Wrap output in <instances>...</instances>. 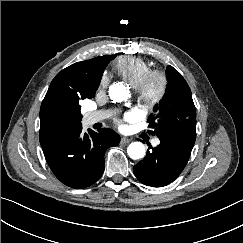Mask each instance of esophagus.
I'll list each match as a JSON object with an SVG mask.
<instances>
[{
    "label": "esophagus",
    "mask_w": 243,
    "mask_h": 243,
    "mask_svg": "<svg viewBox=\"0 0 243 243\" xmlns=\"http://www.w3.org/2000/svg\"><path fill=\"white\" fill-rule=\"evenodd\" d=\"M130 141H131V139L128 138V137H122L120 143H121V144H127V143H129Z\"/></svg>",
    "instance_id": "esophagus-1"
}]
</instances>
